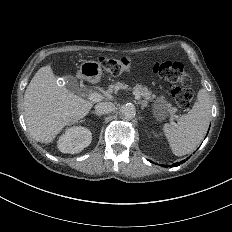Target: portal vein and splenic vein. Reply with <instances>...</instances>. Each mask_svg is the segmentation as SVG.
Listing matches in <instances>:
<instances>
[{"mask_svg": "<svg viewBox=\"0 0 232 232\" xmlns=\"http://www.w3.org/2000/svg\"><path fill=\"white\" fill-rule=\"evenodd\" d=\"M88 98L90 100H92L93 102H99L102 100L103 96L101 94H98V93H91V94H89ZM135 99H140V95L135 94Z\"/></svg>", "mask_w": 232, "mask_h": 232, "instance_id": "portal-vein-and-splenic-vein-1", "label": "portal vein and splenic vein"}]
</instances>
